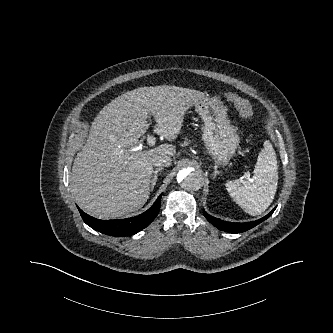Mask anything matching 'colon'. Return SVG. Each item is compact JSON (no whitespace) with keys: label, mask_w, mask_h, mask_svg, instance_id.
Wrapping results in <instances>:
<instances>
[{"label":"colon","mask_w":333,"mask_h":333,"mask_svg":"<svg viewBox=\"0 0 333 333\" xmlns=\"http://www.w3.org/2000/svg\"><path fill=\"white\" fill-rule=\"evenodd\" d=\"M228 101L232 102L239 114L244 118H251L253 116V108L250 102L233 92L225 93Z\"/></svg>","instance_id":"obj_1"}]
</instances>
